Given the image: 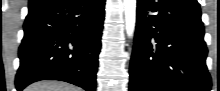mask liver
<instances>
[{"instance_id":"liver-1","label":"liver","mask_w":220,"mask_h":91,"mask_svg":"<svg viewBox=\"0 0 220 91\" xmlns=\"http://www.w3.org/2000/svg\"><path fill=\"white\" fill-rule=\"evenodd\" d=\"M25 91H81L72 85L64 82L43 81L31 84Z\"/></svg>"}]
</instances>
